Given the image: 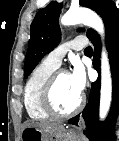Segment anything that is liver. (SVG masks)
<instances>
[{"label": "liver", "instance_id": "1", "mask_svg": "<svg viewBox=\"0 0 119 141\" xmlns=\"http://www.w3.org/2000/svg\"><path fill=\"white\" fill-rule=\"evenodd\" d=\"M29 126L39 127V128L47 129V130H62V129H64L63 125H61L60 123L45 122V121L38 122V123L27 122L24 124L23 129L25 127H29Z\"/></svg>", "mask_w": 119, "mask_h": 141}]
</instances>
